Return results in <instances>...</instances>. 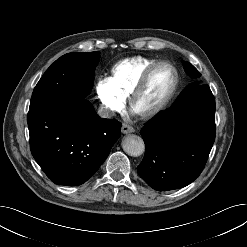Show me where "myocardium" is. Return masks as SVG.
<instances>
[{
  "label": "myocardium",
  "instance_id": "1",
  "mask_svg": "<svg viewBox=\"0 0 247 247\" xmlns=\"http://www.w3.org/2000/svg\"><path fill=\"white\" fill-rule=\"evenodd\" d=\"M162 65H168L173 70V72H174L173 85H172L170 91L168 92V94L166 95V97L156 107H154L153 109H151L145 113H142V114L136 113L139 117H141L143 119L152 118V117L158 115L160 112H162L168 106V104L171 102V100L175 96L177 89L179 87L180 74H179L178 69L175 67V65L172 64L171 62L165 61V60L157 61L144 70V72L141 74L138 81L136 82V84L132 88L130 94L128 95V104H129L130 109L132 111H134L133 108H134V103H135L136 99L143 92V90H144L145 86L147 85L149 78L152 75V73L158 67H160Z\"/></svg>",
  "mask_w": 247,
  "mask_h": 247
}]
</instances>
